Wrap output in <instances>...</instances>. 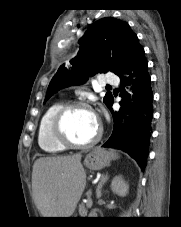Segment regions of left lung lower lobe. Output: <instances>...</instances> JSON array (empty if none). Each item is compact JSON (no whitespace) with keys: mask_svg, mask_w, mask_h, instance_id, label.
<instances>
[{"mask_svg":"<svg viewBox=\"0 0 181 227\" xmlns=\"http://www.w3.org/2000/svg\"><path fill=\"white\" fill-rule=\"evenodd\" d=\"M123 71L129 74L130 77L125 78L122 74L119 75L122 79L121 87L124 88L126 79L128 83L133 84V103L130 107L129 117L123 125L122 118L126 113L127 103L129 102L127 94L122 91L121 108L118 112H113L112 110L113 100L109 104L108 108L111 110L114 119V129L112 135L103 146L127 152L144 170L151 136L153 93L144 49L139 43L130 53Z\"/></svg>","mask_w":181,"mask_h":227,"instance_id":"left-lung-lower-lobe-1","label":"left lung lower lobe"}]
</instances>
